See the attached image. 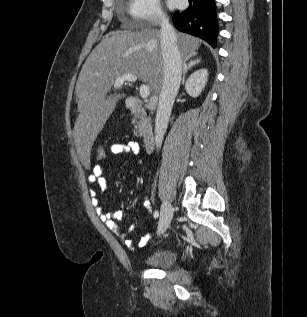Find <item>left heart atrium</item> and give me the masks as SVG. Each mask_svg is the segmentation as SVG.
Wrapping results in <instances>:
<instances>
[{
    "instance_id": "obj_1",
    "label": "left heart atrium",
    "mask_w": 307,
    "mask_h": 317,
    "mask_svg": "<svg viewBox=\"0 0 307 317\" xmlns=\"http://www.w3.org/2000/svg\"><path fill=\"white\" fill-rule=\"evenodd\" d=\"M168 3L171 7H176L179 5L180 0H168Z\"/></svg>"
}]
</instances>
